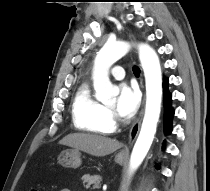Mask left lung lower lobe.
<instances>
[{"instance_id": "0a47b994", "label": "left lung lower lobe", "mask_w": 210, "mask_h": 191, "mask_svg": "<svg viewBox=\"0 0 210 191\" xmlns=\"http://www.w3.org/2000/svg\"><path fill=\"white\" fill-rule=\"evenodd\" d=\"M163 96H164V130L165 134L172 131V119L174 117V109L172 108V94L168 90V78L163 79Z\"/></svg>"}]
</instances>
